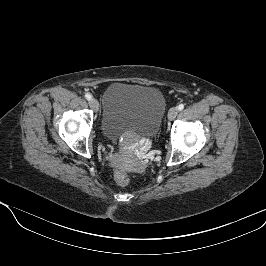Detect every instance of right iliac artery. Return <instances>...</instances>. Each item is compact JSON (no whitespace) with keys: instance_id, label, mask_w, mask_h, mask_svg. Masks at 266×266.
<instances>
[{"instance_id":"right-iliac-artery-1","label":"right iliac artery","mask_w":266,"mask_h":266,"mask_svg":"<svg viewBox=\"0 0 266 266\" xmlns=\"http://www.w3.org/2000/svg\"><path fill=\"white\" fill-rule=\"evenodd\" d=\"M85 98H86L87 100H91L92 96H91L89 93H87V94H85Z\"/></svg>"}]
</instances>
